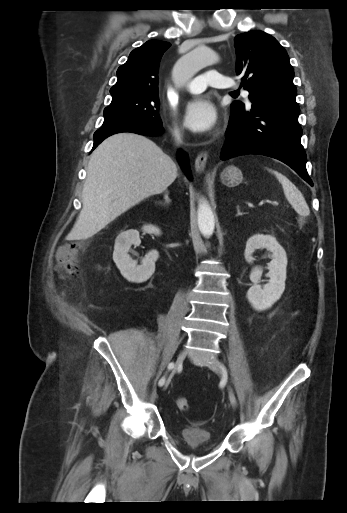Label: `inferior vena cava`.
<instances>
[{"label":"inferior vena cava","mask_w":347,"mask_h":513,"mask_svg":"<svg viewBox=\"0 0 347 513\" xmlns=\"http://www.w3.org/2000/svg\"><path fill=\"white\" fill-rule=\"evenodd\" d=\"M174 137H175L176 142H181V133L179 130L174 131Z\"/></svg>","instance_id":"1"}]
</instances>
